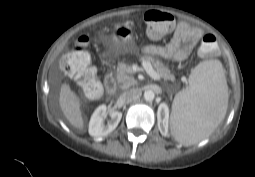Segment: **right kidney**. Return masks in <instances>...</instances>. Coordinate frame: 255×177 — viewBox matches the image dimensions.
<instances>
[{
	"instance_id": "right-kidney-1",
	"label": "right kidney",
	"mask_w": 255,
	"mask_h": 177,
	"mask_svg": "<svg viewBox=\"0 0 255 177\" xmlns=\"http://www.w3.org/2000/svg\"><path fill=\"white\" fill-rule=\"evenodd\" d=\"M107 108L105 105H100L92 114L89 122V134L94 138H100L111 133L119 124L122 113L113 111L110 113L111 119L107 124H104V119L107 116Z\"/></svg>"
}]
</instances>
